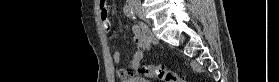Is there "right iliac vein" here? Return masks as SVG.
<instances>
[{"mask_svg":"<svg viewBox=\"0 0 279 82\" xmlns=\"http://www.w3.org/2000/svg\"><path fill=\"white\" fill-rule=\"evenodd\" d=\"M129 5L136 12V14H138L142 19H144L147 23H149V20L145 16V12L139 5H137L133 1H129Z\"/></svg>","mask_w":279,"mask_h":82,"instance_id":"1","label":"right iliac vein"}]
</instances>
